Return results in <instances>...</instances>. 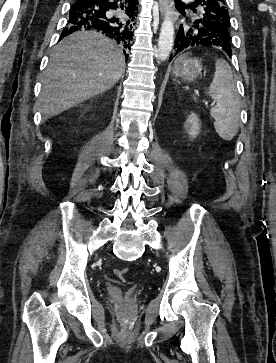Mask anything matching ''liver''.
Segmentation results:
<instances>
[{"label": "liver", "mask_w": 276, "mask_h": 363, "mask_svg": "<svg viewBox=\"0 0 276 363\" xmlns=\"http://www.w3.org/2000/svg\"><path fill=\"white\" fill-rule=\"evenodd\" d=\"M125 71V58L110 39L94 31L76 32L54 49L45 71L40 110L58 115L113 87Z\"/></svg>", "instance_id": "obj_1"}]
</instances>
